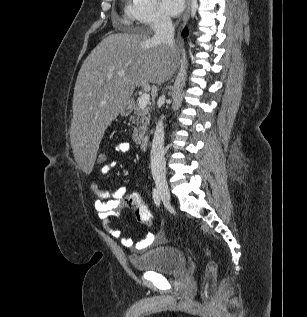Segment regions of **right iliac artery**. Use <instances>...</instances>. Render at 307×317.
Here are the masks:
<instances>
[{
	"instance_id": "1",
	"label": "right iliac artery",
	"mask_w": 307,
	"mask_h": 317,
	"mask_svg": "<svg viewBox=\"0 0 307 317\" xmlns=\"http://www.w3.org/2000/svg\"><path fill=\"white\" fill-rule=\"evenodd\" d=\"M152 196H153L154 203L157 206H159L160 202H161V198H160L159 191H158V189L156 187L153 188Z\"/></svg>"
}]
</instances>
